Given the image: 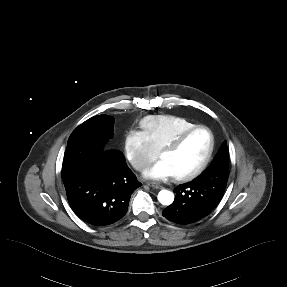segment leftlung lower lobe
Instances as JSON below:
<instances>
[{
    "instance_id": "1",
    "label": "left lung lower lobe",
    "mask_w": 287,
    "mask_h": 287,
    "mask_svg": "<svg viewBox=\"0 0 287 287\" xmlns=\"http://www.w3.org/2000/svg\"><path fill=\"white\" fill-rule=\"evenodd\" d=\"M215 175L210 182L193 180L177 186L175 200L163 210V216L178 224H190L207 216L222 198L228 179L218 171Z\"/></svg>"
}]
</instances>
